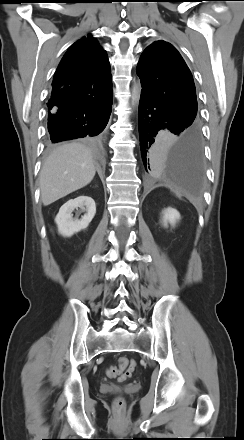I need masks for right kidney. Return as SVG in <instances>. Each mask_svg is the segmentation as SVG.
I'll return each instance as SVG.
<instances>
[{
	"mask_svg": "<svg viewBox=\"0 0 244 440\" xmlns=\"http://www.w3.org/2000/svg\"><path fill=\"white\" fill-rule=\"evenodd\" d=\"M78 208L86 212L81 219L73 218L72 212ZM95 213L96 205L91 197L82 195L70 199L62 205L55 218L59 234L64 237H71L73 234L86 229Z\"/></svg>",
	"mask_w": 244,
	"mask_h": 440,
	"instance_id": "obj_1",
	"label": "right kidney"
}]
</instances>
